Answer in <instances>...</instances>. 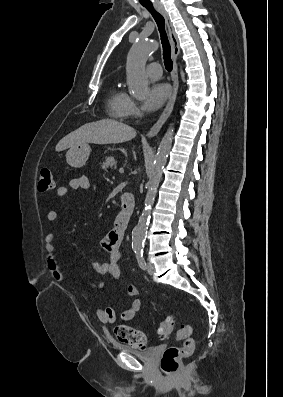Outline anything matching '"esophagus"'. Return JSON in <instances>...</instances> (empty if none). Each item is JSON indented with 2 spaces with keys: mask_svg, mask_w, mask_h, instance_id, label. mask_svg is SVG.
<instances>
[{
  "mask_svg": "<svg viewBox=\"0 0 283 397\" xmlns=\"http://www.w3.org/2000/svg\"><path fill=\"white\" fill-rule=\"evenodd\" d=\"M156 10L164 17L167 28H168V33H169V38L171 42V48H172V59H173V72H172V81H173V91L172 95L169 99V101L166 104V107L164 108L162 114L160 115L159 119L157 122L150 128V130L147 133L148 137H153L158 134L168 117L170 116L175 101L178 93V88H179V78H178V65H177V58L180 53V48H179V41L178 37L175 33L174 27L172 25V22L169 18L168 13L165 11V9L161 6L156 4L155 5Z\"/></svg>",
  "mask_w": 283,
  "mask_h": 397,
  "instance_id": "34e87169",
  "label": "esophagus"
}]
</instances>
